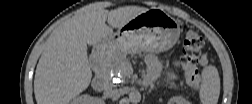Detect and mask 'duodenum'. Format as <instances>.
<instances>
[{"mask_svg":"<svg viewBox=\"0 0 252 104\" xmlns=\"http://www.w3.org/2000/svg\"><path fill=\"white\" fill-rule=\"evenodd\" d=\"M93 88L97 91H102L107 86V79L103 74H98L92 81Z\"/></svg>","mask_w":252,"mask_h":104,"instance_id":"obj_1","label":"duodenum"}]
</instances>
